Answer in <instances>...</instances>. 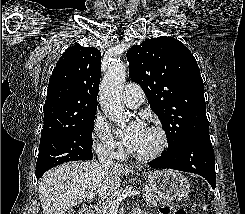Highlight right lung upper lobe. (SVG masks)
Returning <instances> with one entry per match:
<instances>
[{"label":"right lung upper lobe","instance_id":"right-lung-upper-lobe-1","mask_svg":"<svg viewBox=\"0 0 245 214\" xmlns=\"http://www.w3.org/2000/svg\"><path fill=\"white\" fill-rule=\"evenodd\" d=\"M101 53L95 47L67 49L50 76L42 135H50L97 109Z\"/></svg>","mask_w":245,"mask_h":214}]
</instances>
